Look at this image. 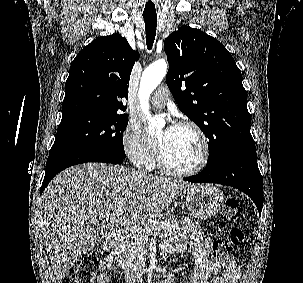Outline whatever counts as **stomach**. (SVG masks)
<instances>
[{
	"instance_id": "obj_1",
	"label": "stomach",
	"mask_w": 303,
	"mask_h": 283,
	"mask_svg": "<svg viewBox=\"0 0 303 283\" xmlns=\"http://www.w3.org/2000/svg\"><path fill=\"white\" fill-rule=\"evenodd\" d=\"M223 194L210 185H196L186 190V207L192 215L201 219L214 216L223 203Z\"/></svg>"
}]
</instances>
